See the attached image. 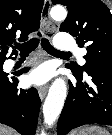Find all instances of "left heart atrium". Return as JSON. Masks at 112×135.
<instances>
[{
  "label": "left heart atrium",
  "instance_id": "obj_1",
  "mask_svg": "<svg viewBox=\"0 0 112 135\" xmlns=\"http://www.w3.org/2000/svg\"><path fill=\"white\" fill-rule=\"evenodd\" d=\"M50 76L51 71L48 68L38 67L28 76V82L30 84L42 85L49 80Z\"/></svg>",
  "mask_w": 112,
  "mask_h": 135
}]
</instances>
